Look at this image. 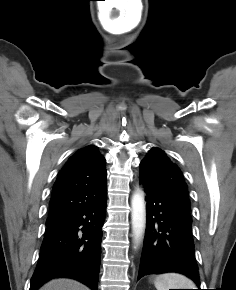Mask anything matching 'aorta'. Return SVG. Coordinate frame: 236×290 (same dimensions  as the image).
<instances>
[{
    "label": "aorta",
    "mask_w": 236,
    "mask_h": 290,
    "mask_svg": "<svg viewBox=\"0 0 236 290\" xmlns=\"http://www.w3.org/2000/svg\"><path fill=\"white\" fill-rule=\"evenodd\" d=\"M131 223H132V234L135 247L139 245L142 240L145 225H146V210L144 203V196L141 190H137L131 200Z\"/></svg>",
    "instance_id": "obj_1"
}]
</instances>
